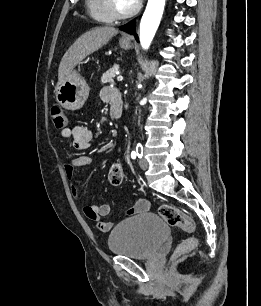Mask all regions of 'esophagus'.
Here are the masks:
<instances>
[{
	"mask_svg": "<svg viewBox=\"0 0 261 306\" xmlns=\"http://www.w3.org/2000/svg\"><path fill=\"white\" fill-rule=\"evenodd\" d=\"M124 39H127V40H129V37H124Z\"/></svg>",
	"mask_w": 261,
	"mask_h": 306,
	"instance_id": "obj_1",
	"label": "esophagus"
}]
</instances>
